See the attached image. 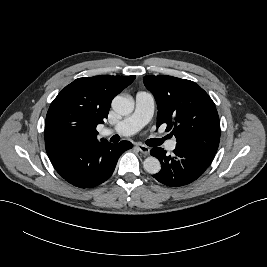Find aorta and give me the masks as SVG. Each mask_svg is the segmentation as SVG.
Returning a JSON list of instances; mask_svg holds the SVG:
<instances>
[{
	"label": "aorta",
	"mask_w": 267,
	"mask_h": 267,
	"mask_svg": "<svg viewBox=\"0 0 267 267\" xmlns=\"http://www.w3.org/2000/svg\"><path fill=\"white\" fill-rule=\"evenodd\" d=\"M112 108L120 115H129L134 110V100L131 97L118 95L112 101ZM143 167L150 174H157L161 170L160 161L153 156H149L144 160Z\"/></svg>",
	"instance_id": "obj_1"
}]
</instances>
